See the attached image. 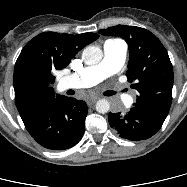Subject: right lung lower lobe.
Masks as SVG:
<instances>
[{
    "mask_svg": "<svg viewBox=\"0 0 187 187\" xmlns=\"http://www.w3.org/2000/svg\"><path fill=\"white\" fill-rule=\"evenodd\" d=\"M87 113L84 101L63 96L23 119V123L29 134L43 147L65 150L81 140Z\"/></svg>",
    "mask_w": 187,
    "mask_h": 187,
    "instance_id": "obj_1",
    "label": "right lung lower lobe"
}]
</instances>
